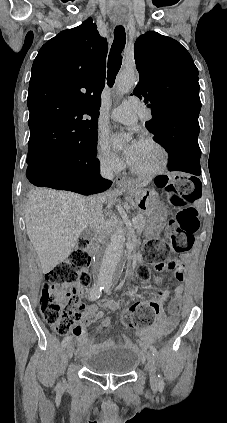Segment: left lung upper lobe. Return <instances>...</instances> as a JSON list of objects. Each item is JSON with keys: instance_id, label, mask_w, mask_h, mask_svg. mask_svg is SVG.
Returning <instances> with one entry per match:
<instances>
[{"instance_id": "obj_1", "label": "left lung upper lobe", "mask_w": 227, "mask_h": 423, "mask_svg": "<svg viewBox=\"0 0 227 423\" xmlns=\"http://www.w3.org/2000/svg\"><path fill=\"white\" fill-rule=\"evenodd\" d=\"M134 57L140 80L133 94L151 108L145 126L156 139L199 127L198 69L189 52L178 41L149 31L135 42Z\"/></svg>"}]
</instances>
